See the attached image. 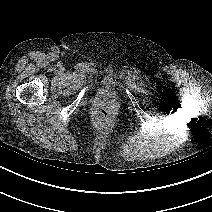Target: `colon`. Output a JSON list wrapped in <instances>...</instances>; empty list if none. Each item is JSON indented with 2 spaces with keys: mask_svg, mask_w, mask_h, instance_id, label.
Returning a JSON list of instances; mask_svg holds the SVG:
<instances>
[{
  "mask_svg": "<svg viewBox=\"0 0 212 212\" xmlns=\"http://www.w3.org/2000/svg\"><path fill=\"white\" fill-rule=\"evenodd\" d=\"M97 115L101 120L107 121L112 117V112L106 107H101L99 108Z\"/></svg>",
  "mask_w": 212,
  "mask_h": 212,
  "instance_id": "colon-1",
  "label": "colon"
}]
</instances>
